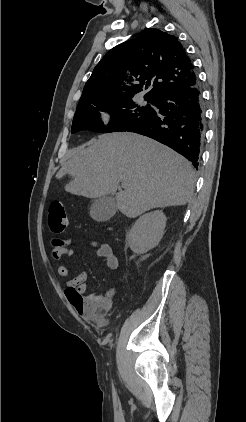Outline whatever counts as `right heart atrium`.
Masks as SVG:
<instances>
[{
    "mask_svg": "<svg viewBox=\"0 0 246 422\" xmlns=\"http://www.w3.org/2000/svg\"><path fill=\"white\" fill-rule=\"evenodd\" d=\"M112 117V113L108 110H103L99 113V119L104 124H108L112 120Z\"/></svg>",
    "mask_w": 246,
    "mask_h": 422,
    "instance_id": "d8ad5b80",
    "label": "right heart atrium"
}]
</instances>
